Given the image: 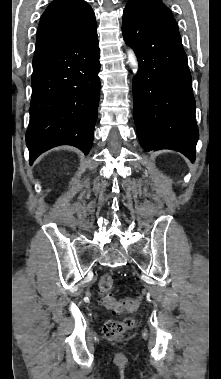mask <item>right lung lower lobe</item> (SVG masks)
Returning a JSON list of instances; mask_svg holds the SVG:
<instances>
[{"label": "right lung lower lobe", "mask_w": 221, "mask_h": 379, "mask_svg": "<svg viewBox=\"0 0 221 379\" xmlns=\"http://www.w3.org/2000/svg\"><path fill=\"white\" fill-rule=\"evenodd\" d=\"M97 24L83 36L33 57L30 164L46 150L72 145L87 155L100 98Z\"/></svg>", "instance_id": "obj_1"}]
</instances>
